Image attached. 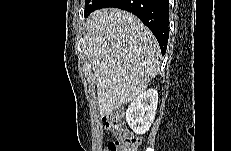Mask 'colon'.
<instances>
[{"instance_id":"colon-1","label":"colon","mask_w":231,"mask_h":151,"mask_svg":"<svg viewBox=\"0 0 231 151\" xmlns=\"http://www.w3.org/2000/svg\"><path fill=\"white\" fill-rule=\"evenodd\" d=\"M104 123L115 136L113 141L106 144L105 151H136L138 138L125 126L121 111L107 114Z\"/></svg>"}]
</instances>
